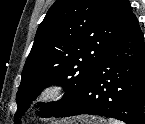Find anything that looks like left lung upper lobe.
<instances>
[{
  "label": "left lung upper lobe",
  "instance_id": "1",
  "mask_svg": "<svg viewBox=\"0 0 145 124\" xmlns=\"http://www.w3.org/2000/svg\"><path fill=\"white\" fill-rule=\"evenodd\" d=\"M129 0H57L39 25L16 96L15 123L43 88L60 84L66 94L42 106L51 117L83 90L133 17Z\"/></svg>",
  "mask_w": 145,
  "mask_h": 124
}]
</instances>
